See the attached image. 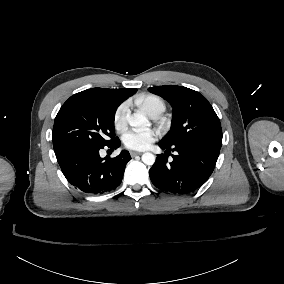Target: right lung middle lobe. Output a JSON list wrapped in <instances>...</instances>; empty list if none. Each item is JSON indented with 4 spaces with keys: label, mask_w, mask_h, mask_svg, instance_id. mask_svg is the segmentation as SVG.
Instances as JSON below:
<instances>
[{
    "label": "right lung middle lobe",
    "mask_w": 284,
    "mask_h": 284,
    "mask_svg": "<svg viewBox=\"0 0 284 284\" xmlns=\"http://www.w3.org/2000/svg\"><path fill=\"white\" fill-rule=\"evenodd\" d=\"M116 109L91 92L82 91L71 96L54 121L52 140L55 154L77 147L106 146L115 140L113 122Z\"/></svg>",
    "instance_id": "obj_1"
}]
</instances>
